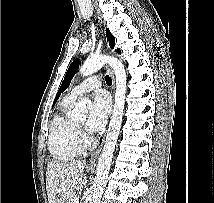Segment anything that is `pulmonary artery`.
Segmentation results:
<instances>
[{"label": "pulmonary artery", "mask_w": 214, "mask_h": 203, "mask_svg": "<svg viewBox=\"0 0 214 203\" xmlns=\"http://www.w3.org/2000/svg\"><path fill=\"white\" fill-rule=\"evenodd\" d=\"M101 86V78L98 75L91 76L75 86L71 92L67 95L69 98L76 100L83 94L89 93L98 89Z\"/></svg>", "instance_id": "e3ab8cb5"}]
</instances>
